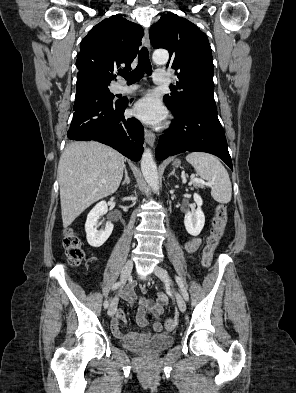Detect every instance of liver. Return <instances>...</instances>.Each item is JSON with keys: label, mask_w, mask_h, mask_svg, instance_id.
Wrapping results in <instances>:
<instances>
[{"label": "liver", "mask_w": 296, "mask_h": 393, "mask_svg": "<svg viewBox=\"0 0 296 393\" xmlns=\"http://www.w3.org/2000/svg\"><path fill=\"white\" fill-rule=\"evenodd\" d=\"M124 166L123 155L97 141L66 146L58 165L64 228L93 203L115 193Z\"/></svg>", "instance_id": "liver-1"}]
</instances>
